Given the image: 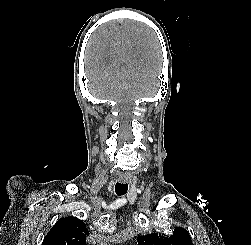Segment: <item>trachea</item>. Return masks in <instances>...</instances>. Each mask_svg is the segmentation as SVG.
Listing matches in <instances>:
<instances>
[{"label": "trachea", "mask_w": 251, "mask_h": 245, "mask_svg": "<svg viewBox=\"0 0 251 245\" xmlns=\"http://www.w3.org/2000/svg\"><path fill=\"white\" fill-rule=\"evenodd\" d=\"M127 190H128V184L126 183H117L115 186V192L119 196L126 194Z\"/></svg>", "instance_id": "1"}]
</instances>
